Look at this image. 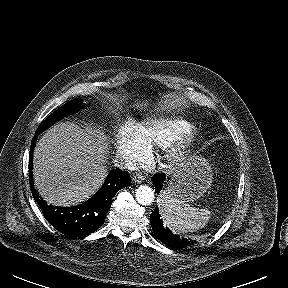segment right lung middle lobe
<instances>
[{"label":"right lung middle lobe","instance_id":"right-lung-middle-lobe-1","mask_svg":"<svg viewBox=\"0 0 288 288\" xmlns=\"http://www.w3.org/2000/svg\"><path fill=\"white\" fill-rule=\"evenodd\" d=\"M82 105L83 104L81 99H74L67 102L62 107L53 112L51 115H49L46 118V120L42 122V124L37 129L38 133H41L42 131H44L46 128H48L50 125L60 120L61 118L70 115L74 111H77L82 107Z\"/></svg>","mask_w":288,"mask_h":288}]
</instances>
